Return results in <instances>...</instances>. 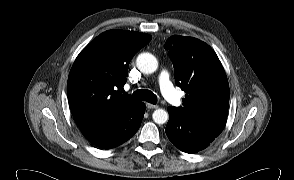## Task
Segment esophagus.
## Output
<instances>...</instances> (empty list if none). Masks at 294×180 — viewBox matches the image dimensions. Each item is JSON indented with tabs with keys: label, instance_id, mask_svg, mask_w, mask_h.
<instances>
[{
	"label": "esophagus",
	"instance_id": "34e87169",
	"mask_svg": "<svg viewBox=\"0 0 294 180\" xmlns=\"http://www.w3.org/2000/svg\"><path fill=\"white\" fill-rule=\"evenodd\" d=\"M146 106L149 109H156V108H158V105H154V104H151V103H147Z\"/></svg>",
	"mask_w": 294,
	"mask_h": 180
}]
</instances>
